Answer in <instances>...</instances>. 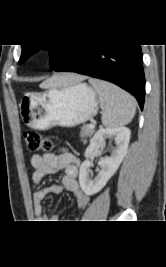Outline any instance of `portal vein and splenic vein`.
<instances>
[{"label": "portal vein and splenic vein", "mask_w": 166, "mask_h": 267, "mask_svg": "<svg viewBox=\"0 0 166 267\" xmlns=\"http://www.w3.org/2000/svg\"><path fill=\"white\" fill-rule=\"evenodd\" d=\"M88 127L93 129L95 127V125L94 124H89Z\"/></svg>", "instance_id": "portal-vein-and-splenic-vein-1"}]
</instances>
